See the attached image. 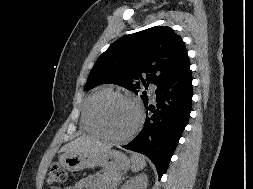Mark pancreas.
<instances>
[{
	"instance_id": "1",
	"label": "pancreas",
	"mask_w": 253,
	"mask_h": 189,
	"mask_svg": "<svg viewBox=\"0 0 253 189\" xmlns=\"http://www.w3.org/2000/svg\"><path fill=\"white\" fill-rule=\"evenodd\" d=\"M101 172H103V174L101 175V178L103 180V182L111 187H114L117 185V183L120 181L121 179V173L117 170H102ZM99 175V173H98Z\"/></svg>"
}]
</instances>
